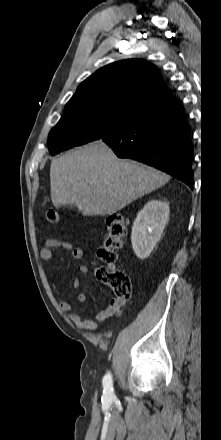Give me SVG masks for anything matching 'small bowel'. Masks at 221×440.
<instances>
[{"mask_svg": "<svg viewBox=\"0 0 221 440\" xmlns=\"http://www.w3.org/2000/svg\"><path fill=\"white\" fill-rule=\"evenodd\" d=\"M52 249L58 250H68L71 253V256L74 260H81L83 257V251L80 248L73 247L66 240H57V239H48L45 241V245L40 249L39 255L42 260L46 262H50L53 259V251ZM89 268L86 265H81L79 267V272L81 274H87ZM82 285L81 278H75L73 282L74 288H80ZM76 300L79 304H84L87 300V296L85 293L80 292L77 294ZM124 299H119L117 297L111 298L105 309L98 311L94 314V319L84 318L79 312L74 311L72 306L67 301H61L59 304V308L64 312L70 313V318L82 329L88 331H95L98 329L97 321H103L110 316H115L119 318L121 314V308L124 304Z\"/></svg>", "mask_w": 221, "mask_h": 440, "instance_id": "obj_1", "label": "small bowel"}]
</instances>
